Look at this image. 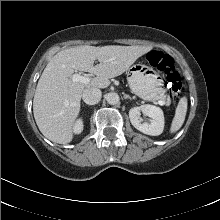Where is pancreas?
Here are the masks:
<instances>
[{"label": "pancreas", "instance_id": "pancreas-1", "mask_svg": "<svg viewBox=\"0 0 220 220\" xmlns=\"http://www.w3.org/2000/svg\"><path fill=\"white\" fill-rule=\"evenodd\" d=\"M164 101L166 104H170V102H171L170 97L169 96L165 97Z\"/></svg>", "mask_w": 220, "mask_h": 220}]
</instances>
